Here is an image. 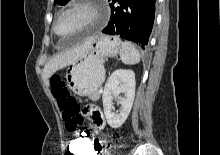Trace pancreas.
Wrapping results in <instances>:
<instances>
[{"mask_svg": "<svg viewBox=\"0 0 220 155\" xmlns=\"http://www.w3.org/2000/svg\"><path fill=\"white\" fill-rule=\"evenodd\" d=\"M99 98H100V93H99V92L93 94V95L90 97V99H91L93 102L98 101Z\"/></svg>", "mask_w": 220, "mask_h": 155, "instance_id": "cf45deb5", "label": "pancreas"}]
</instances>
